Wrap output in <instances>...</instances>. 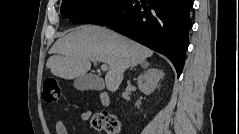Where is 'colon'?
I'll list each match as a JSON object with an SVG mask.
<instances>
[{"mask_svg":"<svg viewBox=\"0 0 239 134\" xmlns=\"http://www.w3.org/2000/svg\"><path fill=\"white\" fill-rule=\"evenodd\" d=\"M43 98L47 103H58L61 98V89L55 78L47 77L43 82ZM92 126L95 130L105 134H118L121 124L116 116L108 113H97L92 117Z\"/></svg>","mask_w":239,"mask_h":134,"instance_id":"1","label":"colon"}]
</instances>
